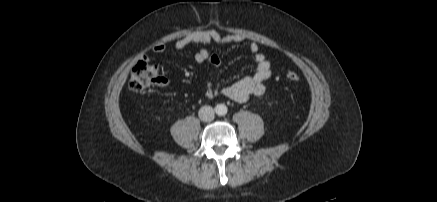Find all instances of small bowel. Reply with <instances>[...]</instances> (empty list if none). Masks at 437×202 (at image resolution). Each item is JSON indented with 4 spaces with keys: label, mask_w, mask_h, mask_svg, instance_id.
I'll return each instance as SVG.
<instances>
[{
    "label": "small bowel",
    "mask_w": 437,
    "mask_h": 202,
    "mask_svg": "<svg viewBox=\"0 0 437 202\" xmlns=\"http://www.w3.org/2000/svg\"><path fill=\"white\" fill-rule=\"evenodd\" d=\"M244 40L245 37L241 34L222 35L216 30L207 29L194 31L177 37L174 40V46L176 49L181 50L189 44L209 45L215 43L226 45L241 43ZM165 50L166 46L163 43H158L152 48V51L156 54H162ZM249 52L253 55L256 64L254 72L251 75L245 76L227 86H218L209 82L205 93L208 98L222 95L237 102H245L253 96H261L264 94V82L272 73L271 63L266 55L260 51L257 43L252 42L249 44ZM143 58L144 60H148L147 55H144ZM193 58L197 63L208 62L215 69L219 68L221 65L219 55L209 52L205 48H201L197 53H195Z\"/></svg>",
    "instance_id": "small-bowel-1"
}]
</instances>
